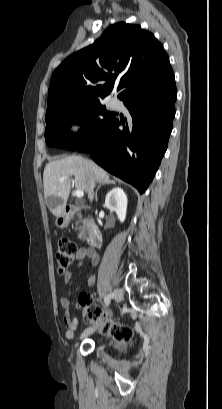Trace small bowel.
<instances>
[{
  "label": "small bowel",
  "instance_id": "obj_1",
  "mask_svg": "<svg viewBox=\"0 0 222 409\" xmlns=\"http://www.w3.org/2000/svg\"><path fill=\"white\" fill-rule=\"evenodd\" d=\"M85 259H89L93 265H97L99 263V255L95 250H92V249H89V248H86V247L79 248L77 250L76 254H75L74 266L64 273L63 281H64L65 284L69 283L72 275L81 266L82 262ZM94 283H95V277L90 276L88 278V280H87V284L89 286H92ZM60 305H61L62 308L68 310L69 306H70L69 299L67 297H65V296L61 297L60 298ZM75 307L77 309H81L82 304L78 303V304L75 305ZM63 322H64V325L67 328V330L65 332V338L67 340H71L73 338V336H74V331L78 327L79 319L77 317L72 318L70 316L69 312L66 311V313L63 316Z\"/></svg>",
  "mask_w": 222,
  "mask_h": 409
}]
</instances>
